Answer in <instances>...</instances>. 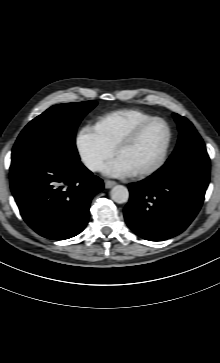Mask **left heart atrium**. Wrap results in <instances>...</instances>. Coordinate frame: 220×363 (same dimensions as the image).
Segmentation results:
<instances>
[{"instance_id":"39dd6f15","label":"left heart atrium","mask_w":220,"mask_h":363,"mask_svg":"<svg viewBox=\"0 0 220 363\" xmlns=\"http://www.w3.org/2000/svg\"><path fill=\"white\" fill-rule=\"evenodd\" d=\"M103 173L110 177H127L134 173L132 168L120 157H116L103 166Z\"/></svg>"}]
</instances>
